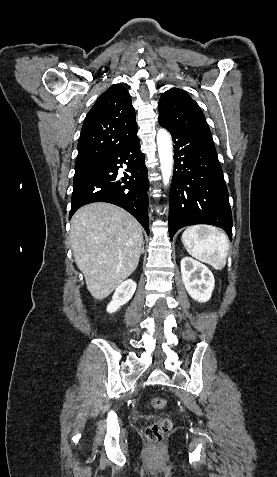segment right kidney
I'll use <instances>...</instances> for the list:
<instances>
[{"instance_id": "obj_1", "label": "right kidney", "mask_w": 277, "mask_h": 477, "mask_svg": "<svg viewBox=\"0 0 277 477\" xmlns=\"http://www.w3.org/2000/svg\"><path fill=\"white\" fill-rule=\"evenodd\" d=\"M136 283L128 279L120 284L112 297V301L107 306V312L114 313L121 306L125 305L133 296L136 290Z\"/></svg>"}]
</instances>
